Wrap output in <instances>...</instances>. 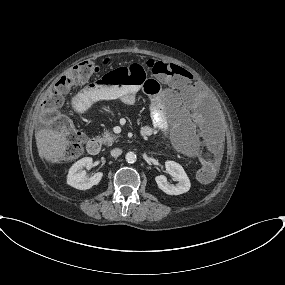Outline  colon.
I'll list each match as a JSON object with an SVG mask.
<instances>
[{"instance_id":"5ec220e1","label":"colon","mask_w":285,"mask_h":285,"mask_svg":"<svg viewBox=\"0 0 285 285\" xmlns=\"http://www.w3.org/2000/svg\"><path fill=\"white\" fill-rule=\"evenodd\" d=\"M146 69L165 81L174 80L183 73V69L179 66L162 61H132L124 67L105 72L100 77L99 84L103 87H122L128 83H132L133 86L142 87L150 98H157L160 91L159 84L154 80L146 79ZM98 70L99 68L91 60L78 63L63 75L40 101V116L43 119L58 123L62 128L68 131L72 139L71 143L66 147L65 156L67 158H75L81 154L85 136L76 132L69 122L62 118L64 97L71 87L91 79ZM215 173L216 166L203 161L200 164L197 174L200 180L208 181Z\"/></svg>"}]
</instances>
